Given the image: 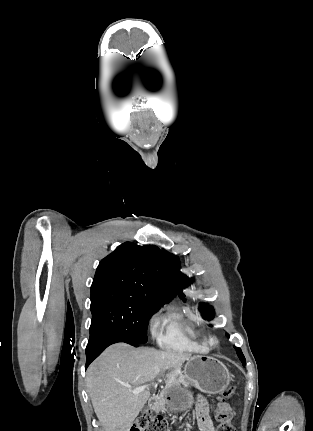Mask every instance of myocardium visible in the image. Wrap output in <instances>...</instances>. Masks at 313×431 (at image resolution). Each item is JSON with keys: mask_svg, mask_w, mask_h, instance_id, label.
<instances>
[{"mask_svg": "<svg viewBox=\"0 0 313 431\" xmlns=\"http://www.w3.org/2000/svg\"><path fill=\"white\" fill-rule=\"evenodd\" d=\"M209 342L211 345H217L218 344V339L215 336L210 337Z\"/></svg>", "mask_w": 313, "mask_h": 431, "instance_id": "myocardium-1", "label": "myocardium"}]
</instances>
